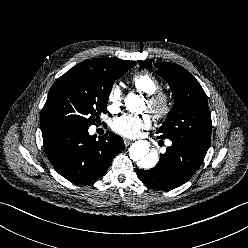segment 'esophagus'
Masks as SVG:
<instances>
[{"label":"esophagus","instance_id":"34e87169","mask_svg":"<svg viewBox=\"0 0 248 248\" xmlns=\"http://www.w3.org/2000/svg\"><path fill=\"white\" fill-rule=\"evenodd\" d=\"M124 144H125V146H128L129 144H131V140L124 139Z\"/></svg>","mask_w":248,"mask_h":248}]
</instances>
